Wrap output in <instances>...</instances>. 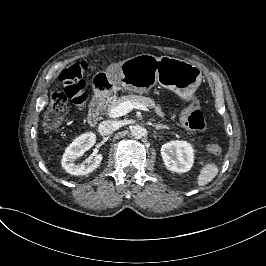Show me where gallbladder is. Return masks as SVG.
I'll use <instances>...</instances> for the list:
<instances>
[{"label": "gallbladder", "mask_w": 266, "mask_h": 266, "mask_svg": "<svg viewBox=\"0 0 266 266\" xmlns=\"http://www.w3.org/2000/svg\"><path fill=\"white\" fill-rule=\"evenodd\" d=\"M106 71H107L108 75H110V74H111V71H112V73H113L116 77H119V76L122 74V71H121V70H117V69L115 68L114 65H110V66L107 68Z\"/></svg>", "instance_id": "1"}]
</instances>
